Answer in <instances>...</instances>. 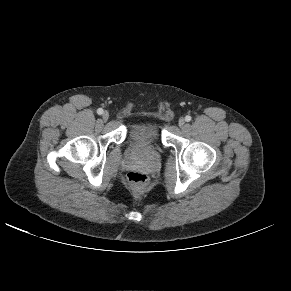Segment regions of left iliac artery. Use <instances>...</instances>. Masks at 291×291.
I'll return each mask as SVG.
<instances>
[{"mask_svg":"<svg viewBox=\"0 0 291 291\" xmlns=\"http://www.w3.org/2000/svg\"><path fill=\"white\" fill-rule=\"evenodd\" d=\"M185 120H186L187 122L191 121V116L187 115V116L185 117Z\"/></svg>","mask_w":291,"mask_h":291,"instance_id":"1","label":"left iliac artery"}]
</instances>
